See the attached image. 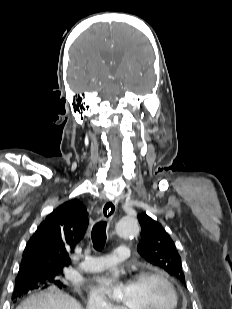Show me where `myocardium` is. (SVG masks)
<instances>
[{
  "label": "myocardium",
  "instance_id": "1",
  "mask_svg": "<svg viewBox=\"0 0 232 309\" xmlns=\"http://www.w3.org/2000/svg\"><path fill=\"white\" fill-rule=\"evenodd\" d=\"M148 278L158 279L166 285L172 299L171 305L168 307V309H178L180 304L178 291L172 281L163 272L156 269H147L140 271L133 277L132 283H137ZM124 309L128 308L125 307Z\"/></svg>",
  "mask_w": 232,
  "mask_h": 309
}]
</instances>
